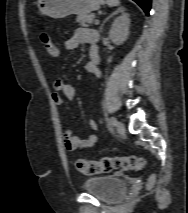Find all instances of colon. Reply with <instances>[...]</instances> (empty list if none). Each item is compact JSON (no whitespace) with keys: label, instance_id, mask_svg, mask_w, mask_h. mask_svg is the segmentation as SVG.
<instances>
[{"label":"colon","instance_id":"obj_1","mask_svg":"<svg viewBox=\"0 0 188 213\" xmlns=\"http://www.w3.org/2000/svg\"><path fill=\"white\" fill-rule=\"evenodd\" d=\"M40 40L47 53L57 58L59 50L51 41L49 35L45 32L40 34ZM144 165L142 157L130 155L121 157H102L98 160H77L76 169L86 175H97L100 173H109L114 170H139Z\"/></svg>","mask_w":188,"mask_h":213}]
</instances>
